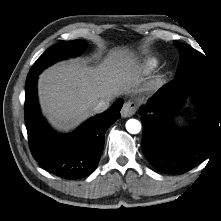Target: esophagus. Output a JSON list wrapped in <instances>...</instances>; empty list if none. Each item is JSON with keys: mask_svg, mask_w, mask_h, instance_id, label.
<instances>
[{"mask_svg": "<svg viewBox=\"0 0 221 221\" xmlns=\"http://www.w3.org/2000/svg\"><path fill=\"white\" fill-rule=\"evenodd\" d=\"M137 110V105L133 101H127L124 103L122 110H121V115L122 117H131L132 115L135 114Z\"/></svg>", "mask_w": 221, "mask_h": 221, "instance_id": "esophagus-1", "label": "esophagus"}]
</instances>
